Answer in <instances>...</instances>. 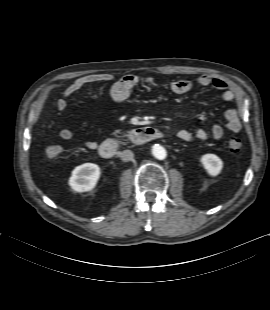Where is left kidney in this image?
Wrapping results in <instances>:
<instances>
[{"mask_svg":"<svg viewBox=\"0 0 270 310\" xmlns=\"http://www.w3.org/2000/svg\"><path fill=\"white\" fill-rule=\"evenodd\" d=\"M200 161L207 173L211 176H217L223 168L222 160L215 154H205L201 157Z\"/></svg>","mask_w":270,"mask_h":310,"instance_id":"obj_1","label":"left kidney"}]
</instances>
